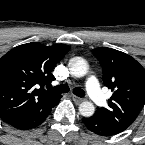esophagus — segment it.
<instances>
[{
    "label": "esophagus",
    "instance_id": "1",
    "mask_svg": "<svg viewBox=\"0 0 145 145\" xmlns=\"http://www.w3.org/2000/svg\"><path fill=\"white\" fill-rule=\"evenodd\" d=\"M72 99H73V101H74L75 103H77V104L84 101L83 98L77 97V96H75V95H72Z\"/></svg>",
    "mask_w": 145,
    "mask_h": 145
}]
</instances>
